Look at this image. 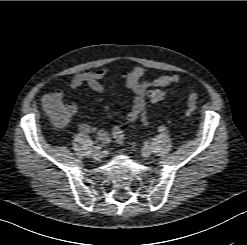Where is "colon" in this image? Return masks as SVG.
I'll list each match as a JSON object with an SVG mask.
<instances>
[{
	"mask_svg": "<svg viewBox=\"0 0 247 245\" xmlns=\"http://www.w3.org/2000/svg\"><path fill=\"white\" fill-rule=\"evenodd\" d=\"M168 92L164 88H155L150 90L148 96L152 102H159L167 96ZM189 112L194 113L198 106V95L191 92L188 96ZM50 118L59 125L65 124L68 120V111L65 103H52L46 109ZM113 137L117 143L121 144L124 141V133L119 126L112 127Z\"/></svg>",
	"mask_w": 247,
	"mask_h": 245,
	"instance_id": "colon-1",
	"label": "colon"
}]
</instances>
